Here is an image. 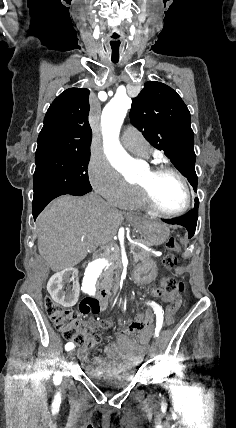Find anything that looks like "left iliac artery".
<instances>
[{"mask_svg": "<svg viewBox=\"0 0 236 428\" xmlns=\"http://www.w3.org/2000/svg\"><path fill=\"white\" fill-rule=\"evenodd\" d=\"M89 295H95V291L88 292ZM150 305L154 309V313L156 314V328H155V337L159 336V332L162 328L163 324V314L164 311L162 310V307L156 304L155 302L150 303Z\"/></svg>", "mask_w": 236, "mask_h": 428, "instance_id": "44dca946", "label": "left iliac artery"}]
</instances>
